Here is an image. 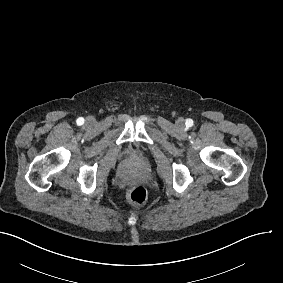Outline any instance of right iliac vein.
<instances>
[{
    "mask_svg": "<svg viewBox=\"0 0 283 283\" xmlns=\"http://www.w3.org/2000/svg\"><path fill=\"white\" fill-rule=\"evenodd\" d=\"M95 121V119L93 117H88L87 120H86V123L87 124H93Z\"/></svg>",
    "mask_w": 283,
    "mask_h": 283,
    "instance_id": "1",
    "label": "right iliac vein"
}]
</instances>
